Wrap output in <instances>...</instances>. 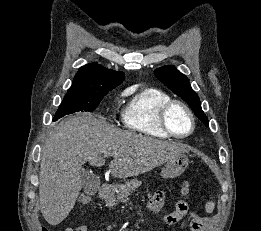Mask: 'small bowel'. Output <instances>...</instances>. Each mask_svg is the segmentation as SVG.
<instances>
[{
  "instance_id": "small-bowel-1",
  "label": "small bowel",
  "mask_w": 261,
  "mask_h": 231,
  "mask_svg": "<svg viewBox=\"0 0 261 231\" xmlns=\"http://www.w3.org/2000/svg\"><path fill=\"white\" fill-rule=\"evenodd\" d=\"M185 195V194H183ZM164 206V195L161 192H157L148 202V209L154 217H158ZM198 216L189 209L188 203L180 198L176 201L173 211L160 217V221L166 225H173L180 221L181 218H187L189 221L191 218ZM213 225L209 223V226L202 229V231H213ZM64 231H88L85 225L78 226L76 228L67 227ZM103 231V230H94Z\"/></svg>"
}]
</instances>
